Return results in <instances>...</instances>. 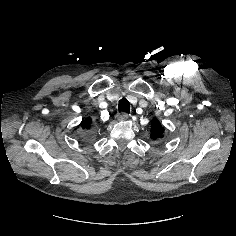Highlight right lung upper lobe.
<instances>
[{
  "label": "right lung upper lobe",
  "instance_id": "cb5924a9",
  "mask_svg": "<svg viewBox=\"0 0 236 236\" xmlns=\"http://www.w3.org/2000/svg\"><path fill=\"white\" fill-rule=\"evenodd\" d=\"M91 123V119L90 118H86L85 120L82 121L81 126L83 128H89Z\"/></svg>",
  "mask_w": 236,
  "mask_h": 236
}]
</instances>
